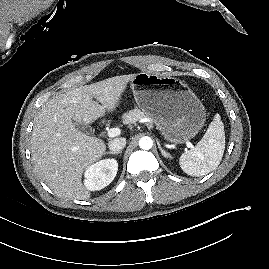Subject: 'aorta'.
Instances as JSON below:
<instances>
[{"instance_id":"obj_1","label":"aorta","mask_w":269,"mask_h":269,"mask_svg":"<svg viewBox=\"0 0 269 269\" xmlns=\"http://www.w3.org/2000/svg\"><path fill=\"white\" fill-rule=\"evenodd\" d=\"M139 146L143 150H149L153 146V140L148 136H144L139 140Z\"/></svg>"}]
</instances>
